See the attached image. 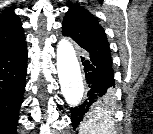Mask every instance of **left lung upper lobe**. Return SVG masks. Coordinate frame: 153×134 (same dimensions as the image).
I'll return each instance as SVG.
<instances>
[{
  "label": "left lung upper lobe",
  "mask_w": 153,
  "mask_h": 134,
  "mask_svg": "<svg viewBox=\"0 0 153 134\" xmlns=\"http://www.w3.org/2000/svg\"><path fill=\"white\" fill-rule=\"evenodd\" d=\"M63 35L70 36L88 55L111 64L109 44L104 29L88 10L71 5L63 20Z\"/></svg>",
  "instance_id": "left-lung-upper-lobe-1"
}]
</instances>
